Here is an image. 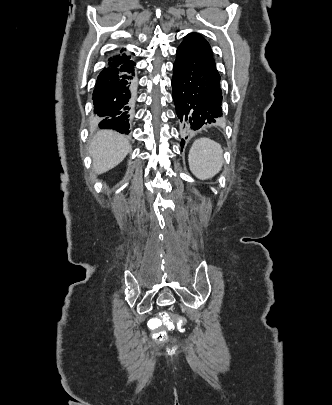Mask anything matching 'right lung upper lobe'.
Segmentation results:
<instances>
[{"mask_svg":"<svg viewBox=\"0 0 332 405\" xmlns=\"http://www.w3.org/2000/svg\"><path fill=\"white\" fill-rule=\"evenodd\" d=\"M123 52V49H121L120 53ZM130 59V56H126L125 54L113 56L108 59V65H118L126 62L127 60Z\"/></svg>","mask_w":332,"mask_h":405,"instance_id":"obj_1","label":"right lung upper lobe"}]
</instances>
